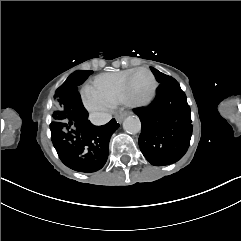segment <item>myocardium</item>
I'll return each mask as SVG.
<instances>
[{"label":"myocardium","instance_id":"1","mask_svg":"<svg viewBox=\"0 0 241 241\" xmlns=\"http://www.w3.org/2000/svg\"><path fill=\"white\" fill-rule=\"evenodd\" d=\"M144 73L146 74L147 76H150L151 79L153 80V83H154V86H153V90H154V93H153V96L152 98L146 103V104H140V105H136L135 107L136 108H142V109H145V108H149L151 105H152V102L154 101V99L158 96L159 94V82L157 80V77L156 75L152 72V71H149L148 69H145V68H141V67H137L135 69V71L129 75V78L126 79L125 81V84H124V87L122 88V92L125 93V95H121L120 96V99H119V102L120 103H124L125 101L126 102H129V97H130V91L128 90V85L137 77L139 76V73Z\"/></svg>","mask_w":241,"mask_h":241}]
</instances>
